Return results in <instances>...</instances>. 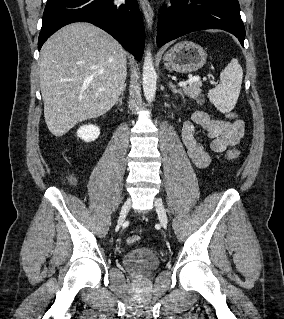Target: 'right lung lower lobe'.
Returning <instances> with one entry per match:
<instances>
[{"mask_svg":"<svg viewBox=\"0 0 284 319\" xmlns=\"http://www.w3.org/2000/svg\"><path fill=\"white\" fill-rule=\"evenodd\" d=\"M73 22H89L112 35L126 50L140 60L145 43V29L136 0L115 5L114 0H48L38 50L61 27Z\"/></svg>","mask_w":284,"mask_h":319,"instance_id":"98d812e1","label":"right lung lower lobe"}]
</instances>
